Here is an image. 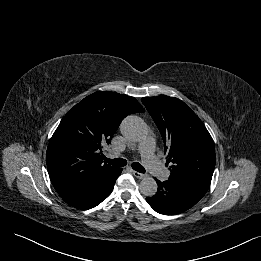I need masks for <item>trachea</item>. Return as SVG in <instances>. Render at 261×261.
<instances>
[{"label": "trachea", "mask_w": 261, "mask_h": 261, "mask_svg": "<svg viewBox=\"0 0 261 261\" xmlns=\"http://www.w3.org/2000/svg\"><path fill=\"white\" fill-rule=\"evenodd\" d=\"M104 160L108 164L117 166V167H123V166H126V164H127V161L123 158L109 159V158L104 157ZM132 168L139 173H145L144 167L138 162L132 163Z\"/></svg>", "instance_id": "1"}]
</instances>
